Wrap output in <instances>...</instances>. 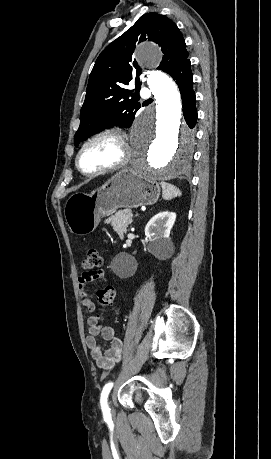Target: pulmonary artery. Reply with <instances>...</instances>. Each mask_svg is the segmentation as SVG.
Here are the masks:
<instances>
[{"label":"pulmonary artery","mask_w":271,"mask_h":459,"mask_svg":"<svg viewBox=\"0 0 271 459\" xmlns=\"http://www.w3.org/2000/svg\"><path fill=\"white\" fill-rule=\"evenodd\" d=\"M141 96L143 98H149L151 96V91L149 89H143L141 91Z\"/></svg>","instance_id":"1"}]
</instances>
